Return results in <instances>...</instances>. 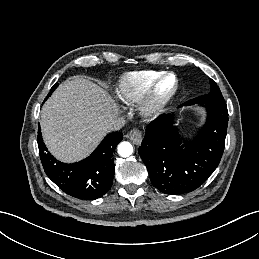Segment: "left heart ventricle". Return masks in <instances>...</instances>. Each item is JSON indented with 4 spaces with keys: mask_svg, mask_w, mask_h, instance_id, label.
I'll return each mask as SVG.
<instances>
[{
    "mask_svg": "<svg viewBox=\"0 0 259 259\" xmlns=\"http://www.w3.org/2000/svg\"><path fill=\"white\" fill-rule=\"evenodd\" d=\"M173 83H174V79L173 77H168L166 78L162 83L161 85L159 86L158 88V93L160 95H163L165 93H167L170 88L173 86Z\"/></svg>",
    "mask_w": 259,
    "mask_h": 259,
    "instance_id": "1",
    "label": "left heart ventricle"
}]
</instances>
